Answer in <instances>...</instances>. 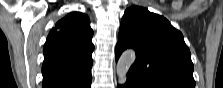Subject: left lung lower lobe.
<instances>
[{
  "label": "left lung lower lobe",
  "instance_id": "0a47b994",
  "mask_svg": "<svg viewBox=\"0 0 223 88\" xmlns=\"http://www.w3.org/2000/svg\"><path fill=\"white\" fill-rule=\"evenodd\" d=\"M118 87L119 88H145V86L142 83L137 81L129 73H128V78H127L126 84L123 86H118Z\"/></svg>",
  "mask_w": 223,
  "mask_h": 88
}]
</instances>
